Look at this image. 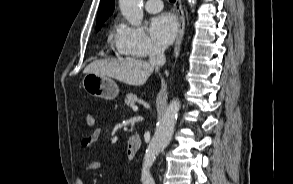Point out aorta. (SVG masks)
Listing matches in <instances>:
<instances>
[{
  "mask_svg": "<svg viewBox=\"0 0 293 184\" xmlns=\"http://www.w3.org/2000/svg\"><path fill=\"white\" fill-rule=\"evenodd\" d=\"M188 1L191 5L196 4V0ZM141 2L142 0H119L122 15L132 26H139L142 23L143 10L141 9ZM180 106V102L177 99H173L156 127L155 134L146 149L143 160L142 184H155L150 168L158 154L171 141Z\"/></svg>",
  "mask_w": 293,
  "mask_h": 184,
  "instance_id": "aorta-1",
  "label": "aorta"
}]
</instances>
